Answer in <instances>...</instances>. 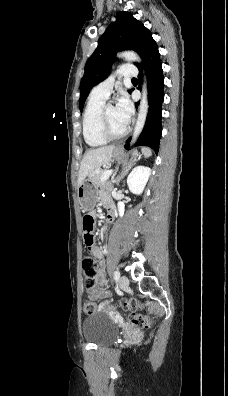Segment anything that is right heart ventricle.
<instances>
[{"instance_id":"right-heart-ventricle-1","label":"right heart ventricle","mask_w":228,"mask_h":396,"mask_svg":"<svg viewBox=\"0 0 228 396\" xmlns=\"http://www.w3.org/2000/svg\"><path fill=\"white\" fill-rule=\"evenodd\" d=\"M105 100V98L91 93L83 114V137L87 145L93 148L101 147L107 143V139L102 136L99 126V115Z\"/></svg>"}]
</instances>
